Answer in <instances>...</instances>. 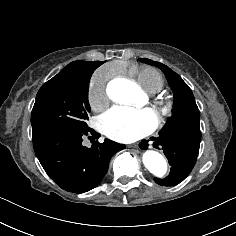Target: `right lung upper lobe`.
Listing matches in <instances>:
<instances>
[{
    "label": "right lung upper lobe",
    "instance_id": "1",
    "mask_svg": "<svg viewBox=\"0 0 236 236\" xmlns=\"http://www.w3.org/2000/svg\"><path fill=\"white\" fill-rule=\"evenodd\" d=\"M104 62H100V61H74L71 62L70 64H68L63 70L62 72H82V71H91V70H95L97 67H99L101 64H103Z\"/></svg>",
    "mask_w": 236,
    "mask_h": 236
}]
</instances>
